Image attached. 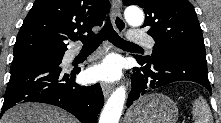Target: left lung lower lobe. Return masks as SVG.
I'll use <instances>...</instances> for the list:
<instances>
[{
    "mask_svg": "<svg viewBox=\"0 0 221 123\" xmlns=\"http://www.w3.org/2000/svg\"><path fill=\"white\" fill-rule=\"evenodd\" d=\"M135 58L141 67L133 70L132 88L127 107L151 90L175 81H193L211 91L207 75V61L204 56L178 53L158 54L152 58L135 56Z\"/></svg>",
    "mask_w": 221,
    "mask_h": 123,
    "instance_id": "obj_1",
    "label": "left lung lower lobe"
}]
</instances>
